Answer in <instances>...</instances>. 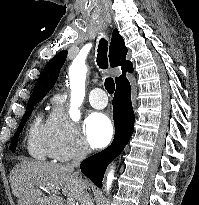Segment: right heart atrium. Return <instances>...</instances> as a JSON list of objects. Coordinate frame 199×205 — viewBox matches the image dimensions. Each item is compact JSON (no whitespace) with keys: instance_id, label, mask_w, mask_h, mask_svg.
<instances>
[{"instance_id":"d8ad5b80","label":"right heart atrium","mask_w":199,"mask_h":205,"mask_svg":"<svg viewBox=\"0 0 199 205\" xmlns=\"http://www.w3.org/2000/svg\"><path fill=\"white\" fill-rule=\"evenodd\" d=\"M50 157L67 162L88 154L89 147L76 123L67 114L63 103L56 98L54 109L45 124Z\"/></svg>"}]
</instances>
